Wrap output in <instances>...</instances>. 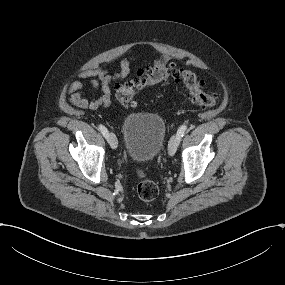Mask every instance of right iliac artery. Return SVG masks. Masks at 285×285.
Segmentation results:
<instances>
[{
	"mask_svg": "<svg viewBox=\"0 0 285 285\" xmlns=\"http://www.w3.org/2000/svg\"><path fill=\"white\" fill-rule=\"evenodd\" d=\"M98 127H99V130L101 131V133L103 134V136L105 138H107L108 137V130L106 129V127L103 126L102 124H100Z\"/></svg>",
	"mask_w": 285,
	"mask_h": 285,
	"instance_id": "1",
	"label": "right iliac artery"
}]
</instances>
